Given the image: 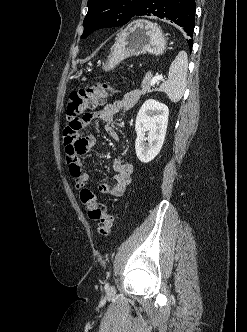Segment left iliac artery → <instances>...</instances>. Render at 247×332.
<instances>
[{"instance_id": "44dca946", "label": "left iliac artery", "mask_w": 247, "mask_h": 332, "mask_svg": "<svg viewBox=\"0 0 247 332\" xmlns=\"http://www.w3.org/2000/svg\"><path fill=\"white\" fill-rule=\"evenodd\" d=\"M109 287V284L108 283H106V285H105V288H108Z\"/></svg>"}]
</instances>
